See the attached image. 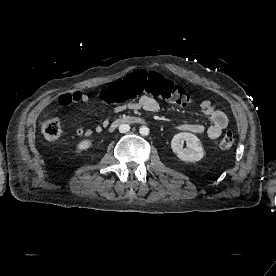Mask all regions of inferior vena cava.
I'll list each match as a JSON object with an SVG mask.
<instances>
[{"label":"inferior vena cava","instance_id":"1","mask_svg":"<svg viewBox=\"0 0 276 276\" xmlns=\"http://www.w3.org/2000/svg\"><path fill=\"white\" fill-rule=\"evenodd\" d=\"M130 130V126L128 125V124H121L120 126H119V131L121 132V133H126V132H128Z\"/></svg>","mask_w":276,"mask_h":276}]
</instances>
